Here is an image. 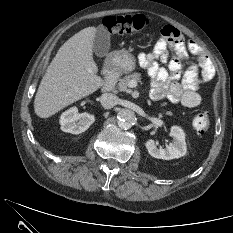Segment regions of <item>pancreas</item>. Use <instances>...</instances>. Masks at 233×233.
<instances>
[{
    "label": "pancreas",
    "instance_id": "pancreas-1",
    "mask_svg": "<svg viewBox=\"0 0 233 233\" xmlns=\"http://www.w3.org/2000/svg\"><path fill=\"white\" fill-rule=\"evenodd\" d=\"M131 80H135L137 82H140L141 81V74L140 73H133V74H130V75L123 77L122 79H119L118 80L119 82L117 84V89L119 91L127 92L128 88H129V82ZM166 114L171 116L172 112L167 111Z\"/></svg>",
    "mask_w": 233,
    "mask_h": 233
}]
</instances>
